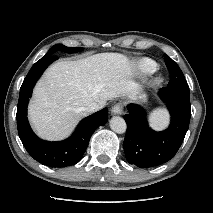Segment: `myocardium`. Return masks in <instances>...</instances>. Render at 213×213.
I'll return each mask as SVG.
<instances>
[{"label": "myocardium", "instance_id": "myocardium-1", "mask_svg": "<svg viewBox=\"0 0 213 213\" xmlns=\"http://www.w3.org/2000/svg\"><path fill=\"white\" fill-rule=\"evenodd\" d=\"M161 80H162V79H161V78H159V79H158V82H161Z\"/></svg>", "mask_w": 213, "mask_h": 213}]
</instances>
